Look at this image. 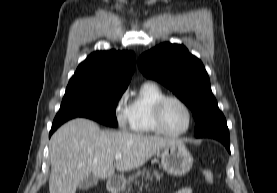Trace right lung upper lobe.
<instances>
[{"mask_svg":"<svg viewBox=\"0 0 277 193\" xmlns=\"http://www.w3.org/2000/svg\"><path fill=\"white\" fill-rule=\"evenodd\" d=\"M136 65L130 51H97L82 62L69 81L67 89L125 91Z\"/></svg>","mask_w":277,"mask_h":193,"instance_id":"cb5924a9","label":"right lung upper lobe"}]
</instances>
